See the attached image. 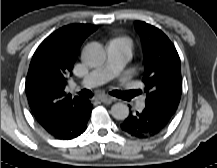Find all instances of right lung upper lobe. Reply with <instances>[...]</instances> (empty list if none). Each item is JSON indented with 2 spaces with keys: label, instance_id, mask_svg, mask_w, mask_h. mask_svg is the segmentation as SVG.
Masks as SVG:
<instances>
[{
  "label": "right lung upper lobe",
  "instance_id": "1",
  "mask_svg": "<svg viewBox=\"0 0 217 168\" xmlns=\"http://www.w3.org/2000/svg\"><path fill=\"white\" fill-rule=\"evenodd\" d=\"M95 25H67L48 36L35 51L26 78L25 89L30 108L38 123L48 128L60 117L87 104L64 91L79 48L96 30Z\"/></svg>",
  "mask_w": 217,
  "mask_h": 168
}]
</instances>
